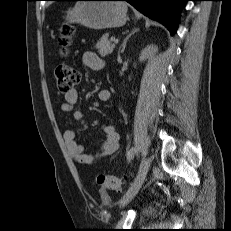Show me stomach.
Wrapping results in <instances>:
<instances>
[{
  "label": "stomach",
  "instance_id": "1",
  "mask_svg": "<svg viewBox=\"0 0 231 231\" xmlns=\"http://www.w3.org/2000/svg\"><path fill=\"white\" fill-rule=\"evenodd\" d=\"M67 21L95 30L120 27L127 21V6L116 0H82L67 11Z\"/></svg>",
  "mask_w": 231,
  "mask_h": 231
}]
</instances>
